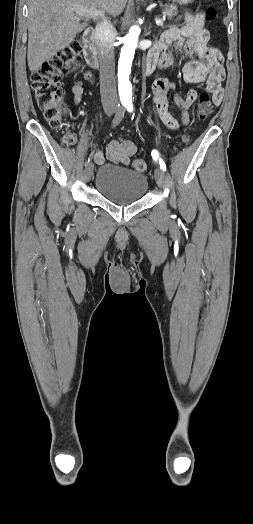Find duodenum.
Masks as SVG:
<instances>
[{"label": "duodenum", "mask_w": 253, "mask_h": 524, "mask_svg": "<svg viewBox=\"0 0 253 524\" xmlns=\"http://www.w3.org/2000/svg\"><path fill=\"white\" fill-rule=\"evenodd\" d=\"M83 52L87 64L92 68L99 67V58L96 46L94 44V29L92 27L87 28L83 33ZM153 71V66L150 63H145L142 66V73L148 74Z\"/></svg>", "instance_id": "410a0bca"}]
</instances>
